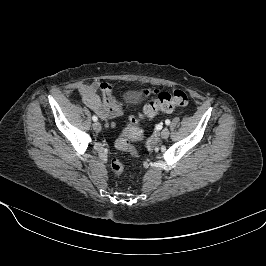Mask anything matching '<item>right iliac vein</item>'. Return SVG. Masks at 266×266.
I'll use <instances>...</instances> for the list:
<instances>
[{"mask_svg": "<svg viewBox=\"0 0 266 266\" xmlns=\"http://www.w3.org/2000/svg\"><path fill=\"white\" fill-rule=\"evenodd\" d=\"M93 129H94L96 132H100L101 129H102V126H101V124H100L99 122L96 121V122L93 124Z\"/></svg>", "mask_w": 266, "mask_h": 266, "instance_id": "obj_1", "label": "right iliac vein"}]
</instances>
